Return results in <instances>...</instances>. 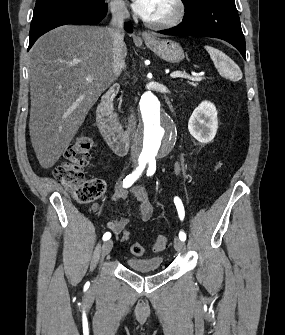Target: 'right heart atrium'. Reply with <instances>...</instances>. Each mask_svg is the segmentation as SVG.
<instances>
[{
  "instance_id": "right-heart-atrium-1",
  "label": "right heart atrium",
  "mask_w": 285,
  "mask_h": 335,
  "mask_svg": "<svg viewBox=\"0 0 285 335\" xmlns=\"http://www.w3.org/2000/svg\"><path fill=\"white\" fill-rule=\"evenodd\" d=\"M108 8L116 20L123 21L129 17V9L123 1H108Z\"/></svg>"
}]
</instances>
